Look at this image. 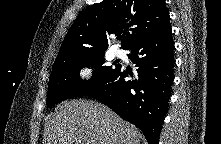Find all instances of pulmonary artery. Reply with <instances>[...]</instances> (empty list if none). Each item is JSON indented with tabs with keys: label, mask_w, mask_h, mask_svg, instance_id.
<instances>
[{
	"label": "pulmonary artery",
	"mask_w": 221,
	"mask_h": 144,
	"mask_svg": "<svg viewBox=\"0 0 221 144\" xmlns=\"http://www.w3.org/2000/svg\"><path fill=\"white\" fill-rule=\"evenodd\" d=\"M115 55H116L117 57H119V58H122V57L125 56V52H124L122 49H117V50L115 51Z\"/></svg>",
	"instance_id": "e3ab8cb5"
}]
</instances>
